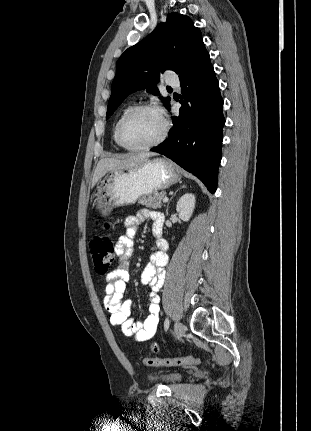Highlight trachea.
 Here are the masks:
<instances>
[{
    "label": "trachea",
    "instance_id": "1",
    "mask_svg": "<svg viewBox=\"0 0 311 431\" xmlns=\"http://www.w3.org/2000/svg\"><path fill=\"white\" fill-rule=\"evenodd\" d=\"M166 88H167V90H172L171 87H166Z\"/></svg>",
    "mask_w": 311,
    "mask_h": 431
}]
</instances>
